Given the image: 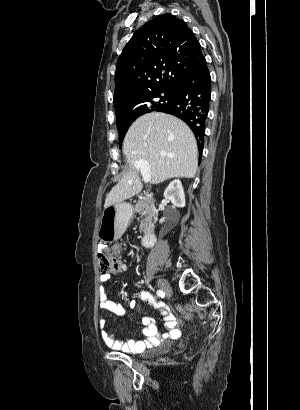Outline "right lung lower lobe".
<instances>
[{"mask_svg": "<svg viewBox=\"0 0 300 410\" xmlns=\"http://www.w3.org/2000/svg\"><path fill=\"white\" fill-rule=\"evenodd\" d=\"M210 94L211 79L203 58L179 80L173 101L158 110L175 115L188 124L197 139L199 156L204 145Z\"/></svg>", "mask_w": 300, "mask_h": 410, "instance_id": "1", "label": "right lung lower lobe"}]
</instances>
